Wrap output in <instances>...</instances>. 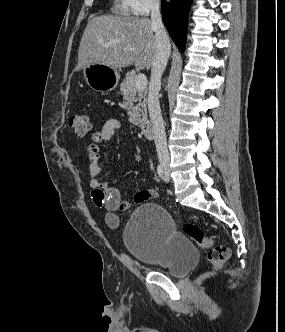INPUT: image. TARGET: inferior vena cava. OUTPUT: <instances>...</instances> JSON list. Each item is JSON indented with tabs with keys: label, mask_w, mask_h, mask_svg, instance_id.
I'll return each mask as SVG.
<instances>
[{
	"label": "inferior vena cava",
	"mask_w": 285,
	"mask_h": 332,
	"mask_svg": "<svg viewBox=\"0 0 285 332\" xmlns=\"http://www.w3.org/2000/svg\"><path fill=\"white\" fill-rule=\"evenodd\" d=\"M151 24L155 32L157 54L151 69V78L148 88V110L154 130V142L158 159L161 163L170 160L167 148L166 133L159 104L161 76L167 65L171 45L160 13V0H152Z\"/></svg>",
	"instance_id": "inferior-vena-cava-1"
}]
</instances>
